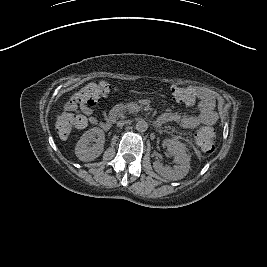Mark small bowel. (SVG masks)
<instances>
[{
    "instance_id": "1",
    "label": "small bowel",
    "mask_w": 267,
    "mask_h": 267,
    "mask_svg": "<svg viewBox=\"0 0 267 267\" xmlns=\"http://www.w3.org/2000/svg\"><path fill=\"white\" fill-rule=\"evenodd\" d=\"M190 94V100L185 105H192L195 102L198 103V114L196 116H179L173 113L163 114L159 122L161 124H166L169 122L179 121L181 125L187 129H194L200 125L205 126V128L214 125L218 120V114L215 110V97L213 93L202 87H188L183 88ZM65 110L74 113L76 117H83L86 120V124L76 125V127H84L87 124L90 125H99L102 128H105V122L99 120L94 116V107L89 104H78L74 99H70L66 105Z\"/></svg>"
}]
</instances>
